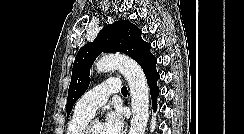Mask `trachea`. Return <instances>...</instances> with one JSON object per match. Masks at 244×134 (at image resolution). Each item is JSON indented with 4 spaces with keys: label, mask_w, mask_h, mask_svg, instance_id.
<instances>
[{
    "label": "trachea",
    "mask_w": 244,
    "mask_h": 134,
    "mask_svg": "<svg viewBox=\"0 0 244 134\" xmlns=\"http://www.w3.org/2000/svg\"><path fill=\"white\" fill-rule=\"evenodd\" d=\"M121 93H122L123 95H127L128 91H127V87H126V86L122 87V89H121Z\"/></svg>",
    "instance_id": "3493384b"
}]
</instances>
